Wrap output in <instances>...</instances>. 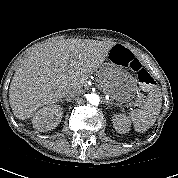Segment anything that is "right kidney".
<instances>
[{"instance_id":"right-kidney-1","label":"right kidney","mask_w":178,"mask_h":178,"mask_svg":"<svg viewBox=\"0 0 178 178\" xmlns=\"http://www.w3.org/2000/svg\"><path fill=\"white\" fill-rule=\"evenodd\" d=\"M63 109L59 105L50 104L39 109L32 119L33 127L39 131L52 130L60 123Z\"/></svg>"}]
</instances>
